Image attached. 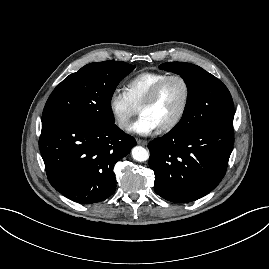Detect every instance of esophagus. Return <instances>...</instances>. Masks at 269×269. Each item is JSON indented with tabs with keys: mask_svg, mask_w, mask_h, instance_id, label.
<instances>
[{
	"mask_svg": "<svg viewBox=\"0 0 269 269\" xmlns=\"http://www.w3.org/2000/svg\"><path fill=\"white\" fill-rule=\"evenodd\" d=\"M137 143L139 144V145H143V146H145V145H147V141L146 140H143V139H137Z\"/></svg>",
	"mask_w": 269,
	"mask_h": 269,
	"instance_id": "obj_1",
	"label": "esophagus"
}]
</instances>
